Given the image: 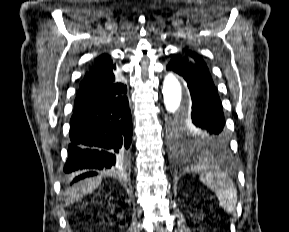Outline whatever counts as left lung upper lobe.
Returning a JSON list of instances; mask_svg holds the SVG:
<instances>
[{
  "label": "left lung upper lobe",
  "instance_id": "5c2ea615",
  "mask_svg": "<svg viewBox=\"0 0 289 232\" xmlns=\"http://www.w3.org/2000/svg\"><path fill=\"white\" fill-rule=\"evenodd\" d=\"M186 58L195 64L207 68L203 59L191 50L184 51ZM172 144L177 151L207 152L214 151L210 141L203 137L190 123L188 116L185 120L175 119L171 126Z\"/></svg>",
  "mask_w": 289,
  "mask_h": 232
}]
</instances>
